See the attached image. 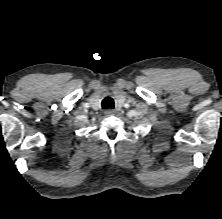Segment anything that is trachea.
Masks as SVG:
<instances>
[{"mask_svg": "<svg viewBox=\"0 0 222 219\" xmlns=\"http://www.w3.org/2000/svg\"><path fill=\"white\" fill-rule=\"evenodd\" d=\"M102 108L107 109V108H114V100L111 97H106L102 100Z\"/></svg>", "mask_w": 222, "mask_h": 219, "instance_id": "1", "label": "trachea"}]
</instances>
